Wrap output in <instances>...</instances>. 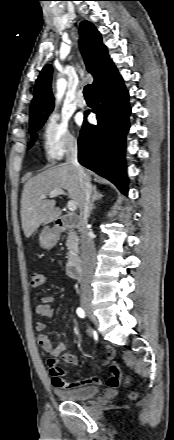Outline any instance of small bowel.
I'll return each mask as SVG.
<instances>
[{
	"label": "small bowel",
	"instance_id": "obj_1",
	"mask_svg": "<svg viewBox=\"0 0 174 440\" xmlns=\"http://www.w3.org/2000/svg\"><path fill=\"white\" fill-rule=\"evenodd\" d=\"M35 312L39 317L47 319L51 318L54 312L53 298L51 296L42 297V301L36 306ZM46 327V323L43 321H38L36 323V330L40 333L38 336L39 345L46 354L53 357V359L48 360V365L50 367L51 378L54 386L66 389H75L91 384H100L102 380L96 376L87 377L72 382L66 380V372L61 366L59 360L56 358L61 356L62 361L68 364H77L78 359L75 355L65 353L66 345L62 342L58 343L56 347H53L50 338L44 333ZM87 333L92 335L89 327H87ZM105 352L107 355V360L113 361L115 357L114 351L110 348H105ZM110 372L111 375L107 380V385L115 388L119 383V370L116 366H112Z\"/></svg>",
	"mask_w": 174,
	"mask_h": 440
}]
</instances>
